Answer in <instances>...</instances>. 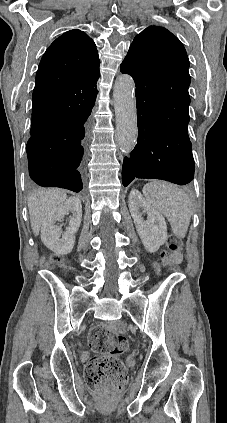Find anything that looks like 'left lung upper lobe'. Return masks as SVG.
<instances>
[{"mask_svg":"<svg viewBox=\"0 0 227 423\" xmlns=\"http://www.w3.org/2000/svg\"><path fill=\"white\" fill-rule=\"evenodd\" d=\"M189 60L170 31L149 26L138 34L120 66L136 85L138 104L156 112H188Z\"/></svg>","mask_w":227,"mask_h":423,"instance_id":"left-lung-upper-lobe-1","label":"left lung upper lobe"}]
</instances>
